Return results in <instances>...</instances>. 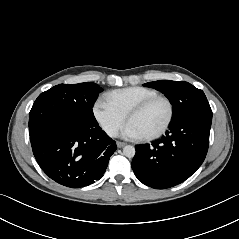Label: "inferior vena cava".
I'll list each match as a JSON object with an SVG mask.
<instances>
[{"mask_svg":"<svg viewBox=\"0 0 239 239\" xmlns=\"http://www.w3.org/2000/svg\"><path fill=\"white\" fill-rule=\"evenodd\" d=\"M105 131L110 137H117L118 135V129L116 127H107Z\"/></svg>","mask_w":239,"mask_h":239,"instance_id":"inferior-vena-cava-1","label":"inferior vena cava"}]
</instances>
